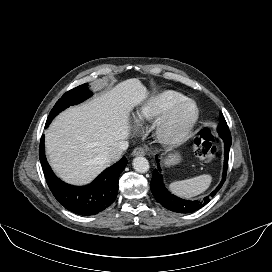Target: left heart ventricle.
<instances>
[{"label": "left heart ventricle", "mask_w": 272, "mask_h": 272, "mask_svg": "<svg viewBox=\"0 0 272 272\" xmlns=\"http://www.w3.org/2000/svg\"><path fill=\"white\" fill-rule=\"evenodd\" d=\"M194 115V107L192 105H184L179 108L173 115L170 124V132H179L183 130L191 121Z\"/></svg>", "instance_id": "obj_1"}]
</instances>
